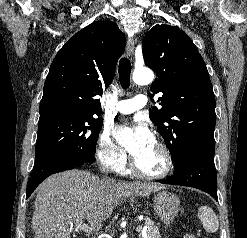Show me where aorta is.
<instances>
[{
	"mask_svg": "<svg viewBox=\"0 0 247 238\" xmlns=\"http://www.w3.org/2000/svg\"><path fill=\"white\" fill-rule=\"evenodd\" d=\"M154 74L149 69H138L133 73V81L138 85H146L153 81Z\"/></svg>",
	"mask_w": 247,
	"mask_h": 238,
	"instance_id": "obj_1",
	"label": "aorta"
}]
</instances>
